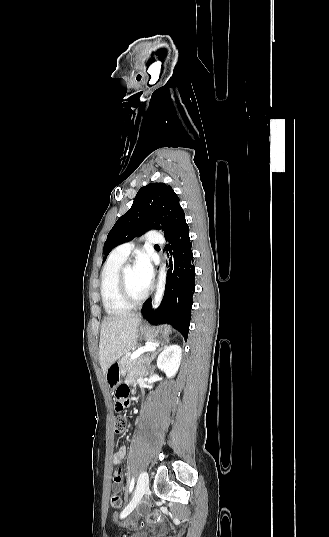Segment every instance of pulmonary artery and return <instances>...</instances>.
<instances>
[{
    "label": "pulmonary artery",
    "mask_w": 329,
    "mask_h": 537,
    "mask_svg": "<svg viewBox=\"0 0 329 537\" xmlns=\"http://www.w3.org/2000/svg\"><path fill=\"white\" fill-rule=\"evenodd\" d=\"M144 241L147 244L156 246V245L164 243V238L160 233H158L156 231H149L145 235ZM133 246L134 245L132 243H129V242L121 244V245L117 246L113 250V254L115 256L120 257V258L126 259L129 256V254L131 253V251L133 249Z\"/></svg>",
    "instance_id": "1"
}]
</instances>
